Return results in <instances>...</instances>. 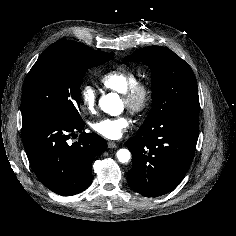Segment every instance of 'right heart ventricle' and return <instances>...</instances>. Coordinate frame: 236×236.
<instances>
[{"instance_id":"1","label":"right heart ventricle","mask_w":236,"mask_h":236,"mask_svg":"<svg viewBox=\"0 0 236 236\" xmlns=\"http://www.w3.org/2000/svg\"><path fill=\"white\" fill-rule=\"evenodd\" d=\"M135 81H137V74L133 70L124 68H116L104 73L100 82L106 89L124 93Z\"/></svg>"}]
</instances>
